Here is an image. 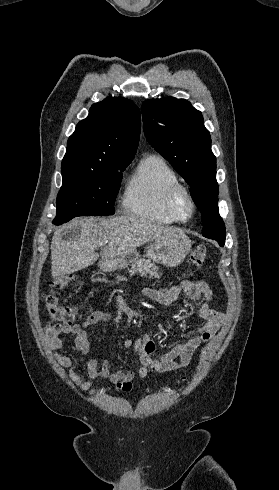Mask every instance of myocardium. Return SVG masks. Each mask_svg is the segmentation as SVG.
Returning a JSON list of instances; mask_svg holds the SVG:
<instances>
[{
  "instance_id": "obj_1",
  "label": "myocardium",
  "mask_w": 279,
  "mask_h": 490,
  "mask_svg": "<svg viewBox=\"0 0 279 490\" xmlns=\"http://www.w3.org/2000/svg\"><path fill=\"white\" fill-rule=\"evenodd\" d=\"M185 198L189 204V211L186 216L181 214V202ZM167 206L169 211L176 217L180 222H186L192 218L195 213L196 205L188 185L184 183L176 184L169 192L167 198Z\"/></svg>"
}]
</instances>
